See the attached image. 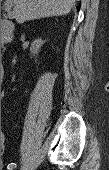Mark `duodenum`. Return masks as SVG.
Wrapping results in <instances>:
<instances>
[{
	"instance_id": "duodenum-1",
	"label": "duodenum",
	"mask_w": 109,
	"mask_h": 170,
	"mask_svg": "<svg viewBox=\"0 0 109 170\" xmlns=\"http://www.w3.org/2000/svg\"><path fill=\"white\" fill-rule=\"evenodd\" d=\"M9 28H10L9 22L5 23L4 24V31L9 30ZM1 75H2V71H1Z\"/></svg>"
}]
</instances>
